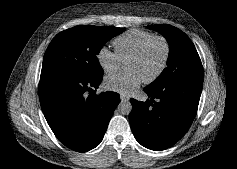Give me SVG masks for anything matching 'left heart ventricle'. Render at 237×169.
I'll list each match as a JSON object with an SVG mask.
<instances>
[{
  "mask_svg": "<svg viewBox=\"0 0 237 169\" xmlns=\"http://www.w3.org/2000/svg\"><path fill=\"white\" fill-rule=\"evenodd\" d=\"M165 53L164 45L161 41H154L146 52L135 60L126 62V70L135 71L142 80L152 76L160 67Z\"/></svg>",
  "mask_w": 237,
  "mask_h": 169,
  "instance_id": "b2bd125f",
  "label": "left heart ventricle"
}]
</instances>
